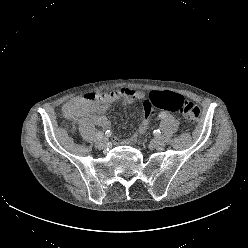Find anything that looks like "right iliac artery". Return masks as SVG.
<instances>
[{
	"label": "right iliac artery",
	"mask_w": 248,
	"mask_h": 248,
	"mask_svg": "<svg viewBox=\"0 0 248 248\" xmlns=\"http://www.w3.org/2000/svg\"><path fill=\"white\" fill-rule=\"evenodd\" d=\"M107 132H108V131H107ZM96 137H97L98 139L102 138V137H103V132H97V133H96Z\"/></svg>",
	"instance_id": "1"
}]
</instances>
